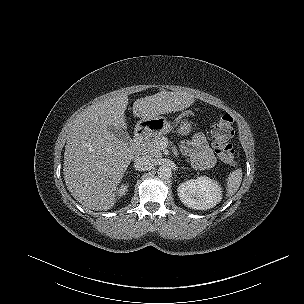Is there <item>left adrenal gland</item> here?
<instances>
[{
  "mask_svg": "<svg viewBox=\"0 0 304 304\" xmlns=\"http://www.w3.org/2000/svg\"><path fill=\"white\" fill-rule=\"evenodd\" d=\"M181 169H183V170H184V169H188V168H187V167H181Z\"/></svg>",
  "mask_w": 304,
  "mask_h": 304,
  "instance_id": "a2214340",
  "label": "left adrenal gland"
}]
</instances>
